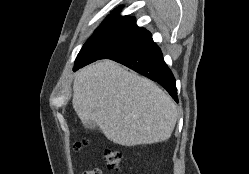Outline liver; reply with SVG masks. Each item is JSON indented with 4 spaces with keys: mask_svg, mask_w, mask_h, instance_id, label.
<instances>
[{
    "mask_svg": "<svg viewBox=\"0 0 249 174\" xmlns=\"http://www.w3.org/2000/svg\"><path fill=\"white\" fill-rule=\"evenodd\" d=\"M72 104L83 124L96 122L108 140L123 146L163 142L177 121L176 105L165 92L111 60L76 73Z\"/></svg>",
    "mask_w": 249,
    "mask_h": 174,
    "instance_id": "1",
    "label": "liver"
}]
</instances>
